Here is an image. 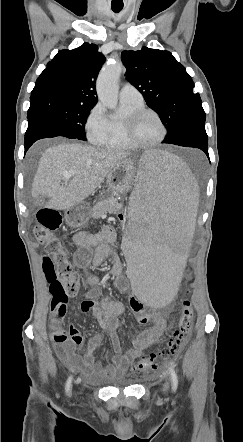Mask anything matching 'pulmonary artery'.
Returning <instances> with one entry per match:
<instances>
[{
  "instance_id": "1",
  "label": "pulmonary artery",
  "mask_w": 243,
  "mask_h": 442,
  "mask_svg": "<svg viewBox=\"0 0 243 442\" xmlns=\"http://www.w3.org/2000/svg\"><path fill=\"white\" fill-rule=\"evenodd\" d=\"M120 100L132 103L143 102V96L133 85L126 83L120 90Z\"/></svg>"
}]
</instances>
